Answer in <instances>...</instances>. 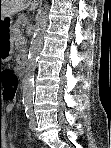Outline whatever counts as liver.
<instances>
[{"label":"liver","mask_w":111,"mask_h":148,"mask_svg":"<svg viewBox=\"0 0 111 148\" xmlns=\"http://www.w3.org/2000/svg\"><path fill=\"white\" fill-rule=\"evenodd\" d=\"M0 2V17L4 19L27 9L30 5L31 10H34L38 0H1Z\"/></svg>","instance_id":"obj_1"}]
</instances>
